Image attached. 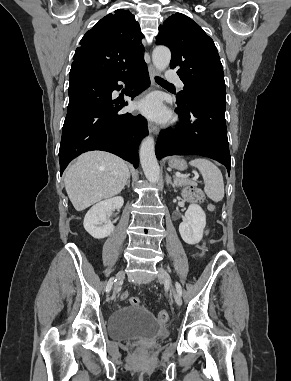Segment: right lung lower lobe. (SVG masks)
Masks as SVG:
<instances>
[{
	"instance_id": "obj_1",
	"label": "right lung lower lobe",
	"mask_w": 291,
	"mask_h": 381,
	"mask_svg": "<svg viewBox=\"0 0 291 381\" xmlns=\"http://www.w3.org/2000/svg\"><path fill=\"white\" fill-rule=\"evenodd\" d=\"M118 81L130 82L132 98L150 85L145 61L124 75L101 78L86 74L69 75V105L59 149L60 174L69 162L83 152L103 150L114 153L138 167V145L148 135L147 121L141 115L118 114L111 100Z\"/></svg>"
}]
</instances>
